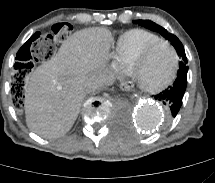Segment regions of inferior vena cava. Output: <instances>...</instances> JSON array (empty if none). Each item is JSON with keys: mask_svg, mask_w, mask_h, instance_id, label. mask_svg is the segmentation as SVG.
<instances>
[{"mask_svg": "<svg viewBox=\"0 0 215 183\" xmlns=\"http://www.w3.org/2000/svg\"><path fill=\"white\" fill-rule=\"evenodd\" d=\"M111 80V76L109 74H105L103 76H99L94 80L87 81L84 84V90L87 93L95 92L100 89L103 85Z\"/></svg>", "mask_w": 215, "mask_h": 183, "instance_id": "602c4592", "label": "inferior vena cava"}]
</instances>
